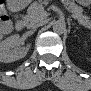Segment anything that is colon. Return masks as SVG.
<instances>
[{
  "label": "colon",
  "mask_w": 91,
  "mask_h": 91,
  "mask_svg": "<svg viewBox=\"0 0 91 91\" xmlns=\"http://www.w3.org/2000/svg\"><path fill=\"white\" fill-rule=\"evenodd\" d=\"M0 29L3 33H8L10 30V21L8 17L2 16L1 17V24Z\"/></svg>",
  "instance_id": "colon-1"
}]
</instances>
